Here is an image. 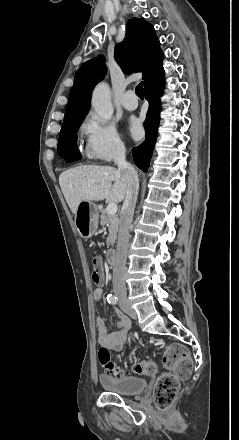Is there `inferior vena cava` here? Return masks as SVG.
<instances>
[{
    "mask_svg": "<svg viewBox=\"0 0 239 440\" xmlns=\"http://www.w3.org/2000/svg\"><path fill=\"white\" fill-rule=\"evenodd\" d=\"M125 154V146H121V148H118L115 156V164L118 166L119 172H121L126 192L121 208L117 250L113 262L112 284L114 294H116V298L119 299L118 307H131L128 298L126 297L127 293L124 276L126 270L130 224L132 222L139 188L137 172L131 164L126 162Z\"/></svg>",
    "mask_w": 239,
    "mask_h": 440,
    "instance_id": "inferior-vena-cava-1",
    "label": "inferior vena cava"
}]
</instances>
